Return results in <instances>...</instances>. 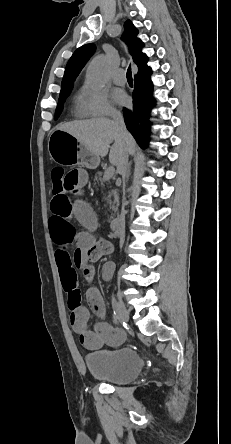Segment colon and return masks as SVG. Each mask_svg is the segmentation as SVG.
<instances>
[{
	"mask_svg": "<svg viewBox=\"0 0 231 444\" xmlns=\"http://www.w3.org/2000/svg\"><path fill=\"white\" fill-rule=\"evenodd\" d=\"M66 172L62 167H55L51 172L52 196L53 198H63L68 194L65 184Z\"/></svg>",
	"mask_w": 231,
	"mask_h": 444,
	"instance_id": "obj_1",
	"label": "colon"
}]
</instances>
